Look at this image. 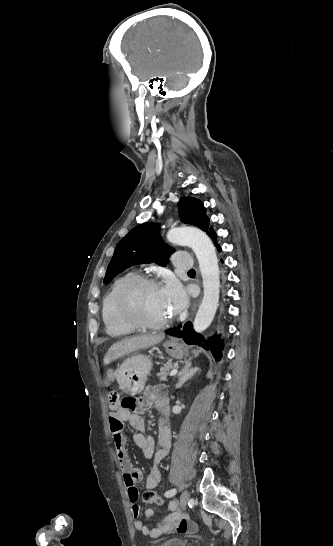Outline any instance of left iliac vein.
<instances>
[{
  "mask_svg": "<svg viewBox=\"0 0 333 546\" xmlns=\"http://www.w3.org/2000/svg\"><path fill=\"white\" fill-rule=\"evenodd\" d=\"M189 499H190V494H189V492H188V491L182 492L181 497H180V506H181V508H185V507H186V505H187Z\"/></svg>",
  "mask_w": 333,
  "mask_h": 546,
  "instance_id": "1",
  "label": "left iliac vein"
}]
</instances>
